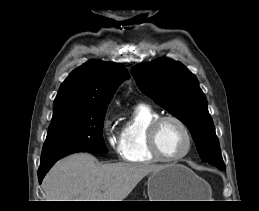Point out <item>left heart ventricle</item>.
I'll list each match as a JSON object with an SVG mask.
<instances>
[{
	"mask_svg": "<svg viewBox=\"0 0 259 211\" xmlns=\"http://www.w3.org/2000/svg\"><path fill=\"white\" fill-rule=\"evenodd\" d=\"M158 144L165 156L173 157L183 152L187 145V139L177 123L166 121L159 129Z\"/></svg>",
	"mask_w": 259,
	"mask_h": 211,
	"instance_id": "b2bd125f",
	"label": "left heart ventricle"
}]
</instances>
